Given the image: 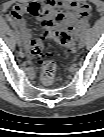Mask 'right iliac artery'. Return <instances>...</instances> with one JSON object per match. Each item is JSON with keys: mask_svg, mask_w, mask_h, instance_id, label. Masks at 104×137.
Masks as SVG:
<instances>
[{"mask_svg": "<svg viewBox=\"0 0 104 137\" xmlns=\"http://www.w3.org/2000/svg\"><path fill=\"white\" fill-rule=\"evenodd\" d=\"M12 25H13V27H14L15 29H17L16 26H15L14 24H12Z\"/></svg>", "mask_w": 104, "mask_h": 137, "instance_id": "82829eb1", "label": "right iliac artery"}]
</instances>
